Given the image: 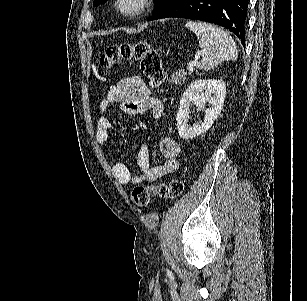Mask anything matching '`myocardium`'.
I'll return each mask as SVG.
<instances>
[{
    "label": "myocardium",
    "instance_id": "obj_1",
    "mask_svg": "<svg viewBox=\"0 0 307 301\" xmlns=\"http://www.w3.org/2000/svg\"><path fill=\"white\" fill-rule=\"evenodd\" d=\"M151 0H115L113 5L126 17L138 16L145 12Z\"/></svg>",
    "mask_w": 307,
    "mask_h": 301
}]
</instances>
